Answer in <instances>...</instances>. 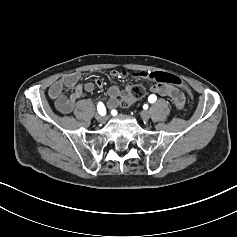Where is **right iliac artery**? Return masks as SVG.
Here are the masks:
<instances>
[{
    "instance_id": "obj_1",
    "label": "right iliac artery",
    "mask_w": 237,
    "mask_h": 237,
    "mask_svg": "<svg viewBox=\"0 0 237 237\" xmlns=\"http://www.w3.org/2000/svg\"><path fill=\"white\" fill-rule=\"evenodd\" d=\"M97 110H98V113L102 116H104L106 114V108L102 102L98 103Z\"/></svg>"
}]
</instances>
